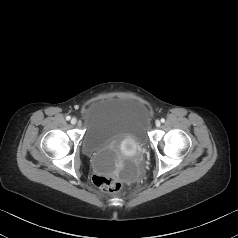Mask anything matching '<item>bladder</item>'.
Listing matches in <instances>:
<instances>
[{"label":"bladder","mask_w":238,"mask_h":238,"mask_svg":"<svg viewBox=\"0 0 238 238\" xmlns=\"http://www.w3.org/2000/svg\"><path fill=\"white\" fill-rule=\"evenodd\" d=\"M150 111L145 102L131 96H105L82 112V150L99 173H113L116 148L122 142L144 147L148 140Z\"/></svg>","instance_id":"1"}]
</instances>
